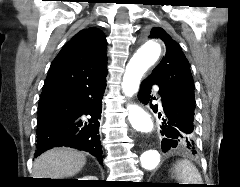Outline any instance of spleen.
I'll use <instances>...</instances> for the list:
<instances>
[{
    "label": "spleen",
    "mask_w": 240,
    "mask_h": 187,
    "mask_svg": "<svg viewBox=\"0 0 240 187\" xmlns=\"http://www.w3.org/2000/svg\"><path fill=\"white\" fill-rule=\"evenodd\" d=\"M175 173L178 180L184 184H201L202 178L196 166L188 160H181L175 166Z\"/></svg>",
    "instance_id": "1"
}]
</instances>
